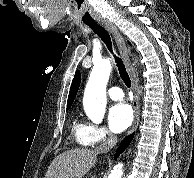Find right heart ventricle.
Listing matches in <instances>:
<instances>
[{"instance_id":"1","label":"right heart ventricle","mask_w":194,"mask_h":178,"mask_svg":"<svg viewBox=\"0 0 194 178\" xmlns=\"http://www.w3.org/2000/svg\"><path fill=\"white\" fill-rule=\"evenodd\" d=\"M86 125L80 121L79 118H74L72 121V134L75 141L80 144L86 146L84 142L85 138Z\"/></svg>"}]
</instances>
